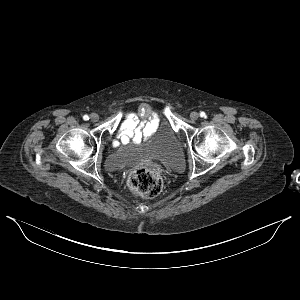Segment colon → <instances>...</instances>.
Segmentation results:
<instances>
[{
  "mask_svg": "<svg viewBox=\"0 0 300 300\" xmlns=\"http://www.w3.org/2000/svg\"><path fill=\"white\" fill-rule=\"evenodd\" d=\"M128 186L138 195L154 197L161 192L163 182L157 168L150 165H142L129 172Z\"/></svg>",
  "mask_w": 300,
  "mask_h": 300,
  "instance_id": "obj_1",
  "label": "colon"
}]
</instances>
